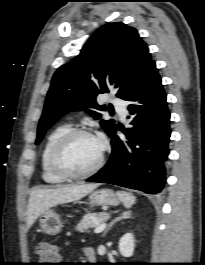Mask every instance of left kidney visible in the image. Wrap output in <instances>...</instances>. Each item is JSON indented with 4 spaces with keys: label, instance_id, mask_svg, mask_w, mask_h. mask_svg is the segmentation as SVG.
<instances>
[{
    "label": "left kidney",
    "instance_id": "obj_1",
    "mask_svg": "<svg viewBox=\"0 0 205 265\" xmlns=\"http://www.w3.org/2000/svg\"><path fill=\"white\" fill-rule=\"evenodd\" d=\"M135 239L132 233H126L119 240V251L124 257H131L134 252Z\"/></svg>",
    "mask_w": 205,
    "mask_h": 265
}]
</instances>
